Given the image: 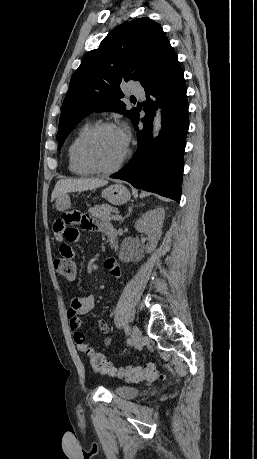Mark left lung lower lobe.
Listing matches in <instances>:
<instances>
[{
  "instance_id": "1",
  "label": "left lung lower lobe",
  "mask_w": 257,
  "mask_h": 459,
  "mask_svg": "<svg viewBox=\"0 0 257 459\" xmlns=\"http://www.w3.org/2000/svg\"><path fill=\"white\" fill-rule=\"evenodd\" d=\"M143 87L147 98L141 119L144 128L138 130V113L132 120L137 130V151L124 168L110 177L179 202L189 120L184 74L174 50ZM158 105L163 110V123L158 138L153 140L152 121Z\"/></svg>"
}]
</instances>
